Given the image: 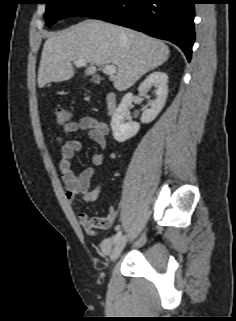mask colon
<instances>
[{"instance_id": "obj_1", "label": "colon", "mask_w": 236, "mask_h": 321, "mask_svg": "<svg viewBox=\"0 0 236 321\" xmlns=\"http://www.w3.org/2000/svg\"><path fill=\"white\" fill-rule=\"evenodd\" d=\"M55 117L57 125L64 126L70 121V112L65 107L58 106L55 108Z\"/></svg>"}]
</instances>
